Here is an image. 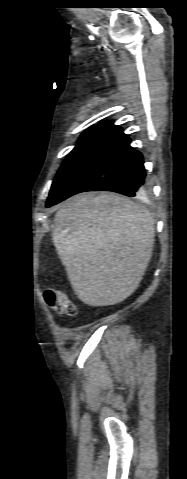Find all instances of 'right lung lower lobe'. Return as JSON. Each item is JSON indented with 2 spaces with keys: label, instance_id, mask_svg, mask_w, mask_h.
Wrapping results in <instances>:
<instances>
[{
  "label": "right lung lower lobe",
  "instance_id": "1",
  "mask_svg": "<svg viewBox=\"0 0 187 479\" xmlns=\"http://www.w3.org/2000/svg\"><path fill=\"white\" fill-rule=\"evenodd\" d=\"M143 163L142 154L130 146L127 137L75 178L47 207L85 191H112L129 197L146 198L150 187Z\"/></svg>",
  "mask_w": 187,
  "mask_h": 479
}]
</instances>
